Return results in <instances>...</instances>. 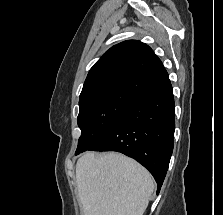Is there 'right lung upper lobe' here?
I'll use <instances>...</instances> for the list:
<instances>
[{
	"mask_svg": "<svg viewBox=\"0 0 223 215\" xmlns=\"http://www.w3.org/2000/svg\"><path fill=\"white\" fill-rule=\"evenodd\" d=\"M170 83L160 59L136 40L111 47L90 69L79 104L106 92L128 90L145 95Z\"/></svg>",
	"mask_w": 223,
	"mask_h": 215,
	"instance_id": "cb5924a9",
	"label": "right lung upper lobe"
}]
</instances>
